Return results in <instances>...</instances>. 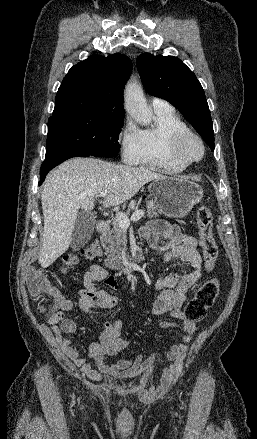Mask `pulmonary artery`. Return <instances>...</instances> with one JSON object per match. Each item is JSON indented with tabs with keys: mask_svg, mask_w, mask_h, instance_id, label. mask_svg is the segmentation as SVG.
Here are the masks:
<instances>
[{
	"mask_svg": "<svg viewBox=\"0 0 257 439\" xmlns=\"http://www.w3.org/2000/svg\"><path fill=\"white\" fill-rule=\"evenodd\" d=\"M152 107H153L154 111L171 109V106L168 102H166L165 100L159 99V98H154L152 100Z\"/></svg>",
	"mask_w": 257,
	"mask_h": 439,
	"instance_id": "obj_1",
	"label": "pulmonary artery"
}]
</instances>
